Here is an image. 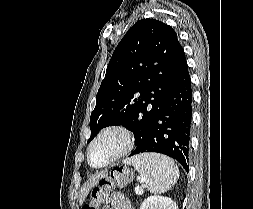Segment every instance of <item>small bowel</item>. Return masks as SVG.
Segmentation results:
<instances>
[{
  "label": "small bowel",
  "mask_w": 253,
  "mask_h": 209,
  "mask_svg": "<svg viewBox=\"0 0 253 209\" xmlns=\"http://www.w3.org/2000/svg\"><path fill=\"white\" fill-rule=\"evenodd\" d=\"M104 209H133L131 202L121 193L116 192L111 196V205Z\"/></svg>",
  "instance_id": "c3829d8e"
}]
</instances>
